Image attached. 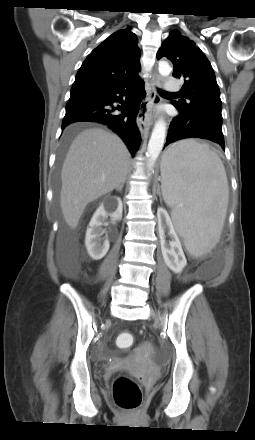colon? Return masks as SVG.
<instances>
[{
	"mask_svg": "<svg viewBox=\"0 0 255 440\" xmlns=\"http://www.w3.org/2000/svg\"><path fill=\"white\" fill-rule=\"evenodd\" d=\"M133 343L134 337L128 332H122L116 337V344L120 348H129ZM113 397L116 405L127 411L137 410L142 402V394L138 384L125 376L115 379Z\"/></svg>",
	"mask_w": 255,
	"mask_h": 440,
	"instance_id": "1",
	"label": "colon"
}]
</instances>
